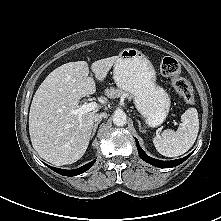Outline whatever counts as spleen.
Instances as JSON below:
<instances>
[{"instance_id":"1","label":"spleen","mask_w":221,"mask_h":221,"mask_svg":"<svg viewBox=\"0 0 221 221\" xmlns=\"http://www.w3.org/2000/svg\"><path fill=\"white\" fill-rule=\"evenodd\" d=\"M182 123L177 131L165 130L153 138L157 151L166 157H177L186 153L194 144L198 131L199 119L196 108H188L181 116Z\"/></svg>"}]
</instances>
